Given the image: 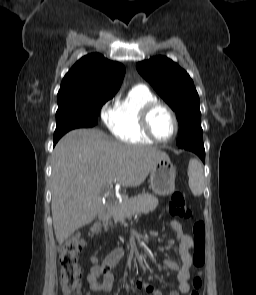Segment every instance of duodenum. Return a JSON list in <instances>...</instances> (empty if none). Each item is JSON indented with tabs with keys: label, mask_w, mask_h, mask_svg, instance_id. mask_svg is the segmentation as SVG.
Returning <instances> with one entry per match:
<instances>
[{
	"label": "duodenum",
	"mask_w": 256,
	"mask_h": 295,
	"mask_svg": "<svg viewBox=\"0 0 256 295\" xmlns=\"http://www.w3.org/2000/svg\"><path fill=\"white\" fill-rule=\"evenodd\" d=\"M111 213V209L108 205H102L99 209L98 219L100 222H104L108 219L109 215ZM91 234L96 237L98 234V226L94 225L92 226L90 230Z\"/></svg>",
	"instance_id": "obj_1"
}]
</instances>
